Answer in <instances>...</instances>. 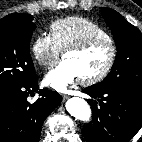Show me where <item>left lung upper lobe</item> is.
I'll return each mask as SVG.
<instances>
[{
    "label": "left lung upper lobe",
    "mask_w": 142,
    "mask_h": 142,
    "mask_svg": "<svg viewBox=\"0 0 142 142\" xmlns=\"http://www.w3.org/2000/svg\"><path fill=\"white\" fill-rule=\"evenodd\" d=\"M105 22L114 36L117 56L111 72L98 88L111 86L142 89V34L113 9L101 7Z\"/></svg>",
    "instance_id": "5c2ea615"
}]
</instances>
